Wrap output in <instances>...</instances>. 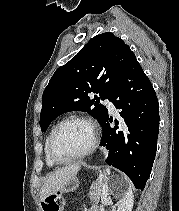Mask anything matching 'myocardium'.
I'll return each instance as SVG.
<instances>
[{
  "mask_svg": "<svg viewBox=\"0 0 179 211\" xmlns=\"http://www.w3.org/2000/svg\"><path fill=\"white\" fill-rule=\"evenodd\" d=\"M75 121L84 122L91 127V129H92V142L89 145V147L86 150H84L83 152H81L80 154H78V155H76L72 158H69V159H65V160L60 159L54 153L55 140H56L57 135L60 132V130L66 124L71 123V122H75ZM98 143H99V129H98V126L96 125V123L91 118H89L87 116L73 115V116H70V117L63 119L61 122H59L56 125L55 129L53 130V132L51 134V137H50V140H49V143H48V154H49L50 159L55 164L65 165V164H69V163H72V162H75V161H78L80 159L87 157L88 155H90L91 153L94 152V150L98 146Z\"/></svg>",
  "mask_w": 179,
  "mask_h": 211,
  "instance_id": "myocardium-1",
  "label": "myocardium"
}]
</instances>
